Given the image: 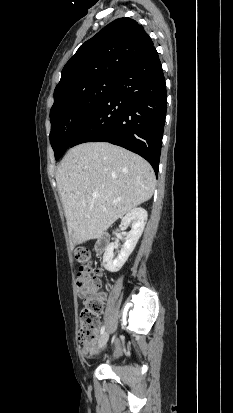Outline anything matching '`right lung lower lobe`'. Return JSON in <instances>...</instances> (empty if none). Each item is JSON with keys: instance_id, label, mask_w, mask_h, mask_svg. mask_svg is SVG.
<instances>
[{"instance_id": "right-lung-lower-lobe-1", "label": "right lung lower lobe", "mask_w": 233, "mask_h": 413, "mask_svg": "<svg viewBox=\"0 0 233 413\" xmlns=\"http://www.w3.org/2000/svg\"><path fill=\"white\" fill-rule=\"evenodd\" d=\"M166 106L165 78L152 46L115 77L109 95L71 147L109 142L145 158L157 175Z\"/></svg>"}]
</instances>
